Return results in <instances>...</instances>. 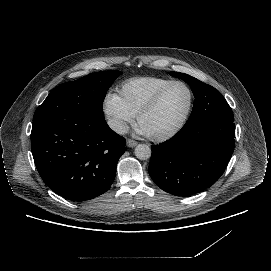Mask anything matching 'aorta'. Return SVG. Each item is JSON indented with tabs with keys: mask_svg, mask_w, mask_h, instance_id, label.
<instances>
[{
	"mask_svg": "<svg viewBox=\"0 0 271 271\" xmlns=\"http://www.w3.org/2000/svg\"><path fill=\"white\" fill-rule=\"evenodd\" d=\"M135 156L140 160H147L151 157V149L145 144H139L135 148Z\"/></svg>",
	"mask_w": 271,
	"mask_h": 271,
	"instance_id": "762f6f07",
	"label": "aorta"
}]
</instances>
